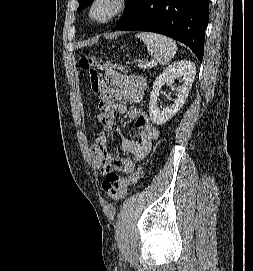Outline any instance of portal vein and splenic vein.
Returning a JSON list of instances; mask_svg holds the SVG:
<instances>
[{
	"label": "portal vein and splenic vein",
	"instance_id": "obj_1",
	"mask_svg": "<svg viewBox=\"0 0 253 271\" xmlns=\"http://www.w3.org/2000/svg\"><path fill=\"white\" fill-rule=\"evenodd\" d=\"M155 62H149V63H139L138 66L140 68H148V67H151V66H154Z\"/></svg>",
	"mask_w": 253,
	"mask_h": 271
}]
</instances>
